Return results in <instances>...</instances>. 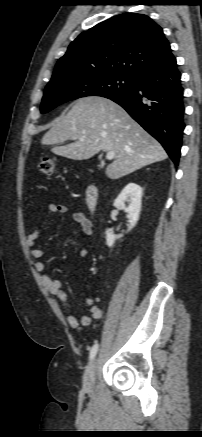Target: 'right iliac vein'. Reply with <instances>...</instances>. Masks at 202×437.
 <instances>
[{
  "label": "right iliac vein",
  "mask_w": 202,
  "mask_h": 437,
  "mask_svg": "<svg viewBox=\"0 0 202 437\" xmlns=\"http://www.w3.org/2000/svg\"><path fill=\"white\" fill-rule=\"evenodd\" d=\"M96 360H93L87 367L83 376V387L90 392L94 389Z\"/></svg>",
  "instance_id": "1"
}]
</instances>
